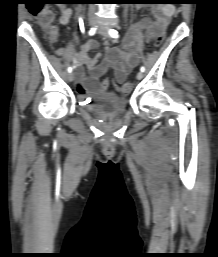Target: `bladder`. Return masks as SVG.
Here are the masks:
<instances>
[{
    "label": "bladder",
    "instance_id": "obj_1",
    "mask_svg": "<svg viewBox=\"0 0 218 257\" xmlns=\"http://www.w3.org/2000/svg\"><path fill=\"white\" fill-rule=\"evenodd\" d=\"M126 99L112 96L95 97L90 108L94 111L114 115L125 110Z\"/></svg>",
    "mask_w": 218,
    "mask_h": 257
}]
</instances>
